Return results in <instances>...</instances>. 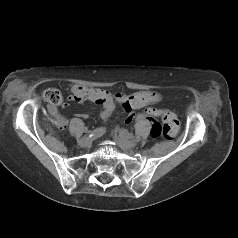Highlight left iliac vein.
Returning a JSON list of instances; mask_svg holds the SVG:
<instances>
[{"instance_id": "4c4485c4", "label": "left iliac vein", "mask_w": 238, "mask_h": 238, "mask_svg": "<svg viewBox=\"0 0 238 238\" xmlns=\"http://www.w3.org/2000/svg\"><path fill=\"white\" fill-rule=\"evenodd\" d=\"M115 140L123 150H128L136 146L134 141L126 139V137L121 134L119 136H115Z\"/></svg>"}]
</instances>
